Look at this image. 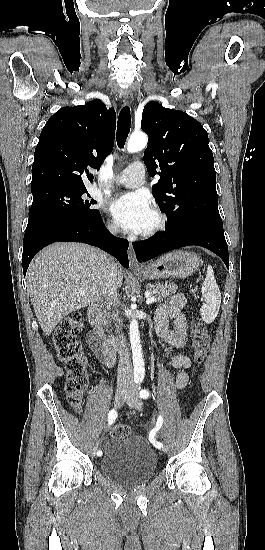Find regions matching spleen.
<instances>
[{"label": "spleen", "mask_w": 265, "mask_h": 550, "mask_svg": "<svg viewBox=\"0 0 265 550\" xmlns=\"http://www.w3.org/2000/svg\"><path fill=\"white\" fill-rule=\"evenodd\" d=\"M201 292L206 304L201 307L200 314L203 321L210 324L215 320L221 304V293L214 277L213 268L210 265L207 267V274Z\"/></svg>", "instance_id": "1"}]
</instances>
